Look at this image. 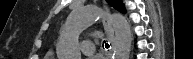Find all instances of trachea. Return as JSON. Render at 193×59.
I'll return each instance as SVG.
<instances>
[{
  "mask_svg": "<svg viewBox=\"0 0 193 59\" xmlns=\"http://www.w3.org/2000/svg\"><path fill=\"white\" fill-rule=\"evenodd\" d=\"M105 43V48H109V44L107 42H104ZM104 43H103V46H104Z\"/></svg>",
  "mask_w": 193,
  "mask_h": 59,
  "instance_id": "1",
  "label": "trachea"
}]
</instances>
